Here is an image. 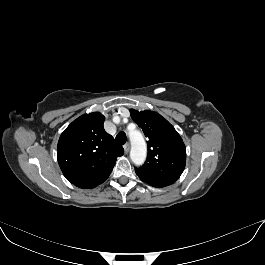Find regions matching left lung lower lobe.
Returning <instances> with one entry per match:
<instances>
[{"label": "left lung lower lobe", "instance_id": "left-lung-lower-lobe-1", "mask_svg": "<svg viewBox=\"0 0 265 265\" xmlns=\"http://www.w3.org/2000/svg\"><path fill=\"white\" fill-rule=\"evenodd\" d=\"M139 178L146 182L147 184L153 186V187H158V188H161V187H165V186H168V185H171L173 184L175 181H172V180H167V179H158V178H151V177H147V176H144V175H141V174H138L136 173Z\"/></svg>", "mask_w": 265, "mask_h": 265}]
</instances>
